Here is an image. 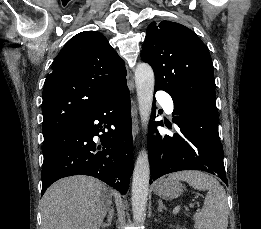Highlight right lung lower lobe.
I'll return each mask as SVG.
<instances>
[{"instance_id":"right-lung-lower-lobe-1","label":"right lung lower lobe","mask_w":261,"mask_h":229,"mask_svg":"<svg viewBox=\"0 0 261 229\" xmlns=\"http://www.w3.org/2000/svg\"><path fill=\"white\" fill-rule=\"evenodd\" d=\"M96 135L101 140L98 147L93 141ZM43 155L42 194L58 179L78 174L96 177L126 193L133 171L128 87L114 93L84 120L45 141Z\"/></svg>"}]
</instances>
